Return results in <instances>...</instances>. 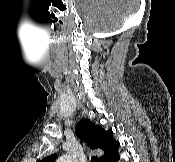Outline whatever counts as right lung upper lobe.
I'll return each instance as SVG.
<instances>
[{
    "instance_id": "cb5924a9",
    "label": "right lung upper lobe",
    "mask_w": 175,
    "mask_h": 162,
    "mask_svg": "<svg viewBox=\"0 0 175 162\" xmlns=\"http://www.w3.org/2000/svg\"><path fill=\"white\" fill-rule=\"evenodd\" d=\"M76 135L86 141L91 148L101 149L104 155L99 162H107L111 156L118 152L119 142L112 138V131H105L100 125L93 124L90 120H81L75 128ZM56 153L43 158L40 162H54Z\"/></svg>"
}]
</instances>
